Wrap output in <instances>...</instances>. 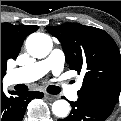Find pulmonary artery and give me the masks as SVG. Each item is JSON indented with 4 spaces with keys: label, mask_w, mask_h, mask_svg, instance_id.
Returning <instances> with one entry per match:
<instances>
[{
    "label": "pulmonary artery",
    "mask_w": 121,
    "mask_h": 121,
    "mask_svg": "<svg viewBox=\"0 0 121 121\" xmlns=\"http://www.w3.org/2000/svg\"><path fill=\"white\" fill-rule=\"evenodd\" d=\"M64 65V53L61 49L57 48L46 59L28 64L19 69L13 70L8 75L11 83L17 82H33L49 72H52L56 76H60V88L61 92H65L69 95L70 99L74 100L77 97V90L80 88V84L74 88L68 86L66 80H63L61 72Z\"/></svg>",
    "instance_id": "1"
}]
</instances>
